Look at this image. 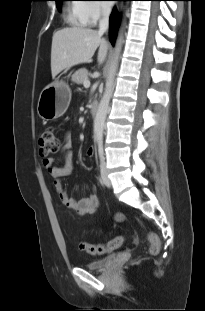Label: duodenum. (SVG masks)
Here are the masks:
<instances>
[{
    "mask_svg": "<svg viewBox=\"0 0 205 311\" xmlns=\"http://www.w3.org/2000/svg\"><path fill=\"white\" fill-rule=\"evenodd\" d=\"M98 110H99V103L97 101L92 102L90 106V113L93 117L96 116Z\"/></svg>",
    "mask_w": 205,
    "mask_h": 311,
    "instance_id": "1",
    "label": "duodenum"
}]
</instances>
